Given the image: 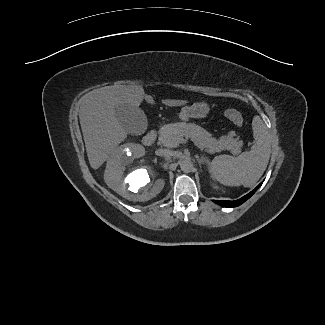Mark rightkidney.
Wrapping results in <instances>:
<instances>
[{
  "label": "right kidney",
  "instance_id": "1",
  "mask_svg": "<svg viewBox=\"0 0 325 325\" xmlns=\"http://www.w3.org/2000/svg\"><path fill=\"white\" fill-rule=\"evenodd\" d=\"M140 157L134 145H121L107 161L104 180L122 197L144 202L158 195L165 182L161 178L156 179V171L146 161H135ZM126 169L128 173L124 175Z\"/></svg>",
  "mask_w": 325,
  "mask_h": 325
}]
</instances>
